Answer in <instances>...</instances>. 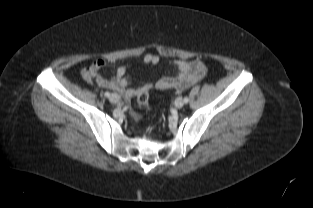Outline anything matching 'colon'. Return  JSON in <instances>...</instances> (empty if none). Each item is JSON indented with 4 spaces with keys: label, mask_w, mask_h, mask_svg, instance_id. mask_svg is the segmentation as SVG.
I'll use <instances>...</instances> for the list:
<instances>
[{
    "label": "colon",
    "mask_w": 313,
    "mask_h": 208,
    "mask_svg": "<svg viewBox=\"0 0 313 208\" xmlns=\"http://www.w3.org/2000/svg\"><path fill=\"white\" fill-rule=\"evenodd\" d=\"M137 105L140 108L147 109L149 105V95L146 90L139 92L136 96Z\"/></svg>",
    "instance_id": "1"
}]
</instances>
